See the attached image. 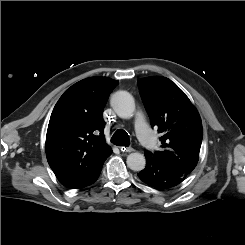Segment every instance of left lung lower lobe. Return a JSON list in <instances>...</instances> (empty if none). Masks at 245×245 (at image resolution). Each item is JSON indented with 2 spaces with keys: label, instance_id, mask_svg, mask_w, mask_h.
I'll return each mask as SVG.
<instances>
[{
  "label": "left lung lower lobe",
  "instance_id": "1",
  "mask_svg": "<svg viewBox=\"0 0 245 245\" xmlns=\"http://www.w3.org/2000/svg\"><path fill=\"white\" fill-rule=\"evenodd\" d=\"M146 157V166L137 175L141 181L159 190L170 189L183 182L185 174L169 165L157 161L149 155Z\"/></svg>",
  "mask_w": 245,
  "mask_h": 245
}]
</instances>
